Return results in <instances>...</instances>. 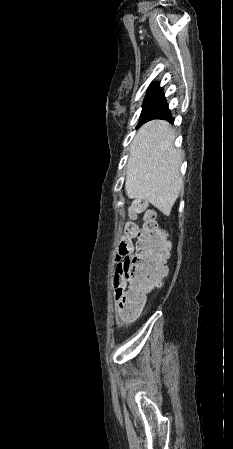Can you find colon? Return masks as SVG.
I'll return each instance as SVG.
<instances>
[{
    "instance_id": "colon-1",
    "label": "colon",
    "mask_w": 233,
    "mask_h": 449,
    "mask_svg": "<svg viewBox=\"0 0 233 449\" xmlns=\"http://www.w3.org/2000/svg\"><path fill=\"white\" fill-rule=\"evenodd\" d=\"M132 209L145 211L146 222L139 231L131 221L127 222L118 246V264L128 272L130 285L118 307V315L125 321L140 313L148 294L159 286L167 271L165 261L170 247L163 230L155 222L154 213L145 210L142 203L134 204ZM136 236V254L131 255L132 240Z\"/></svg>"
}]
</instances>
